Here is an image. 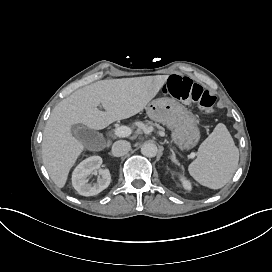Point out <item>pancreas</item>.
Listing matches in <instances>:
<instances>
[{"instance_id": "pancreas-1", "label": "pancreas", "mask_w": 272, "mask_h": 272, "mask_svg": "<svg viewBox=\"0 0 272 272\" xmlns=\"http://www.w3.org/2000/svg\"><path fill=\"white\" fill-rule=\"evenodd\" d=\"M147 125H152V123L150 121H148ZM154 126H156L157 128L161 129V127L158 124H154ZM138 128L141 129L140 127H138Z\"/></svg>"}]
</instances>
